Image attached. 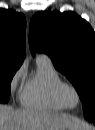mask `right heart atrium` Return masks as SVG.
Segmentation results:
<instances>
[{
    "label": "right heart atrium",
    "mask_w": 95,
    "mask_h": 130,
    "mask_svg": "<svg viewBox=\"0 0 95 130\" xmlns=\"http://www.w3.org/2000/svg\"><path fill=\"white\" fill-rule=\"evenodd\" d=\"M23 76H24V67L20 66L14 72V74L12 75L11 80H10V84L9 85H10V90L12 92H14L18 88V86H19Z\"/></svg>",
    "instance_id": "d8ad5b80"
}]
</instances>
